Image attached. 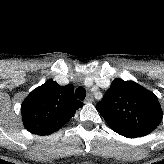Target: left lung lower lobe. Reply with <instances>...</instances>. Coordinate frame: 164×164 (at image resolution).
<instances>
[{"label": "left lung lower lobe", "instance_id": "obj_1", "mask_svg": "<svg viewBox=\"0 0 164 164\" xmlns=\"http://www.w3.org/2000/svg\"><path fill=\"white\" fill-rule=\"evenodd\" d=\"M116 132V131H115ZM118 134L120 135H123L125 137H128V138H136V137H141L137 134H133V133H127V132H117Z\"/></svg>", "mask_w": 164, "mask_h": 164}]
</instances>
